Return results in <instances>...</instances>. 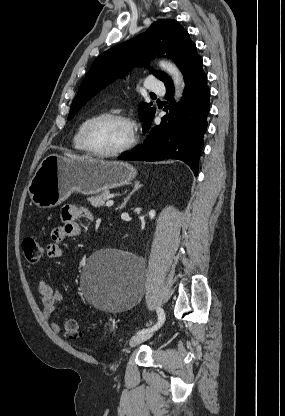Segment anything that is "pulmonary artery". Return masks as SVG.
Segmentation results:
<instances>
[{
  "label": "pulmonary artery",
  "instance_id": "pulmonary-artery-1",
  "mask_svg": "<svg viewBox=\"0 0 285 416\" xmlns=\"http://www.w3.org/2000/svg\"><path fill=\"white\" fill-rule=\"evenodd\" d=\"M145 87L150 90L152 96H157L159 93H164V86L160 83H155L153 79L145 80Z\"/></svg>",
  "mask_w": 285,
  "mask_h": 416
}]
</instances>
